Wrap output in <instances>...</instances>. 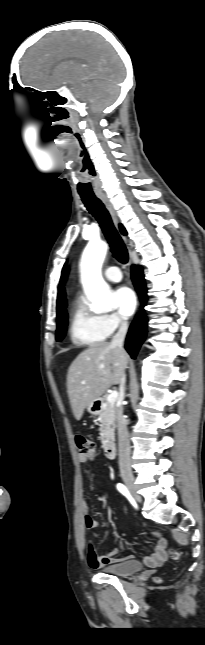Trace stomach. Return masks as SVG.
I'll return each mask as SVG.
<instances>
[{
	"mask_svg": "<svg viewBox=\"0 0 205 645\" xmlns=\"http://www.w3.org/2000/svg\"><path fill=\"white\" fill-rule=\"evenodd\" d=\"M87 411L92 415H98L100 413V401L99 399L94 400L90 405L87 406Z\"/></svg>",
	"mask_w": 205,
	"mask_h": 645,
	"instance_id": "0dacf381",
	"label": "stomach"
}]
</instances>
